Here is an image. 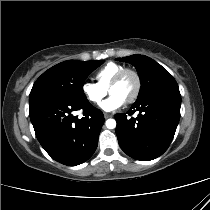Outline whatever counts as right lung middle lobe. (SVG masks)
I'll return each instance as SVG.
<instances>
[{"label":"right lung middle lobe","instance_id":"dd1d6c3e","mask_svg":"<svg viewBox=\"0 0 210 210\" xmlns=\"http://www.w3.org/2000/svg\"><path fill=\"white\" fill-rule=\"evenodd\" d=\"M102 63L103 60H68L53 66L36 80L29 95V102L45 97L86 100L83 92L84 81Z\"/></svg>","mask_w":210,"mask_h":210}]
</instances>
